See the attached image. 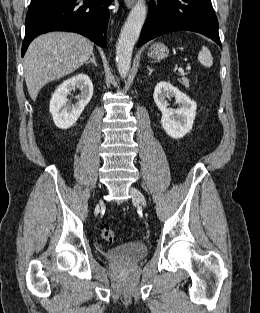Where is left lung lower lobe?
Wrapping results in <instances>:
<instances>
[{
    "instance_id": "1",
    "label": "left lung lower lobe",
    "mask_w": 260,
    "mask_h": 313,
    "mask_svg": "<svg viewBox=\"0 0 260 313\" xmlns=\"http://www.w3.org/2000/svg\"><path fill=\"white\" fill-rule=\"evenodd\" d=\"M180 30L201 33L221 47L218 20L210 0H151L138 47L157 36Z\"/></svg>"
}]
</instances>
